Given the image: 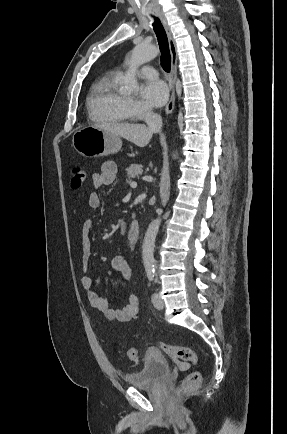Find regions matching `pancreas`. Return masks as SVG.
Segmentation results:
<instances>
[{"label": "pancreas", "instance_id": "cf45deb5", "mask_svg": "<svg viewBox=\"0 0 287 434\" xmlns=\"http://www.w3.org/2000/svg\"><path fill=\"white\" fill-rule=\"evenodd\" d=\"M143 172L142 166L139 164H131L127 169L126 173L129 178H135L140 176Z\"/></svg>", "mask_w": 287, "mask_h": 434}]
</instances>
